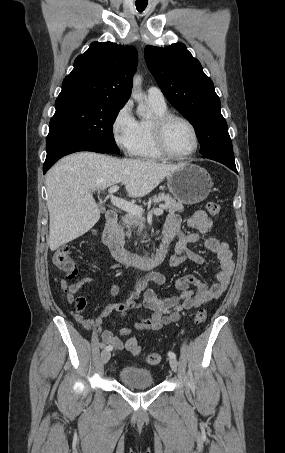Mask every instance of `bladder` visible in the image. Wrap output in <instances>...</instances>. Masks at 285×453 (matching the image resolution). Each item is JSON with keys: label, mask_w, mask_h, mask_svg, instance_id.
I'll return each mask as SVG.
<instances>
[{"label": "bladder", "mask_w": 285, "mask_h": 453, "mask_svg": "<svg viewBox=\"0 0 285 453\" xmlns=\"http://www.w3.org/2000/svg\"><path fill=\"white\" fill-rule=\"evenodd\" d=\"M121 383L129 387H150L154 378L150 370L136 365L123 366L118 372Z\"/></svg>", "instance_id": "1"}]
</instances>
